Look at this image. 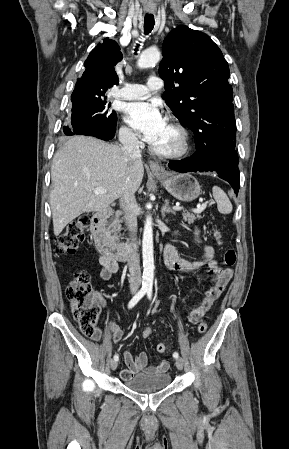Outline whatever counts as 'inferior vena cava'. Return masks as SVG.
Returning a JSON list of instances; mask_svg holds the SVG:
<instances>
[{"label": "inferior vena cava", "mask_w": 289, "mask_h": 449, "mask_svg": "<svg viewBox=\"0 0 289 449\" xmlns=\"http://www.w3.org/2000/svg\"><path fill=\"white\" fill-rule=\"evenodd\" d=\"M122 143V150L128 156L130 161L140 159L141 152L139 149V142L134 134L128 133L120 139ZM136 204L134 193H126L120 198V207L124 211L125 221L127 225V229L130 232L131 241L127 240L128 248L131 249L129 258H128V267H129V286L130 290L135 292L139 289L141 285V269H140V259L139 256L132 247L134 242L136 241V227L137 222L136 218L132 214V209Z\"/></svg>", "instance_id": "1"}]
</instances>
